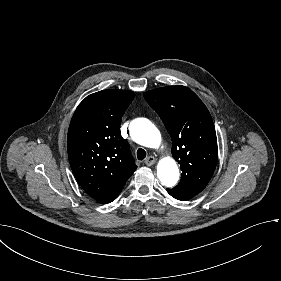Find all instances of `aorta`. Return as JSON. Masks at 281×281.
Wrapping results in <instances>:
<instances>
[{"label":"aorta","mask_w":281,"mask_h":281,"mask_svg":"<svg viewBox=\"0 0 281 281\" xmlns=\"http://www.w3.org/2000/svg\"><path fill=\"white\" fill-rule=\"evenodd\" d=\"M130 131L133 139L145 147L158 148L161 135L156 126L148 119L139 118L131 123ZM157 176L162 185L173 187L179 179V169L173 158H162L157 165Z\"/></svg>","instance_id":"obj_1"}]
</instances>
